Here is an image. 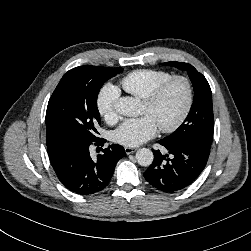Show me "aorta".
<instances>
[{
  "label": "aorta",
  "mask_w": 251,
  "mask_h": 251,
  "mask_svg": "<svg viewBox=\"0 0 251 251\" xmlns=\"http://www.w3.org/2000/svg\"><path fill=\"white\" fill-rule=\"evenodd\" d=\"M115 109L118 113L133 117L137 116L140 112V103L137 99L133 97H121L116 105ZM154 155L150 149L141 148L136 152V160L139 165L147 167L150 166L153 162Z\"/></svg>",
  "instance_id": "1"
}]
</instances>
